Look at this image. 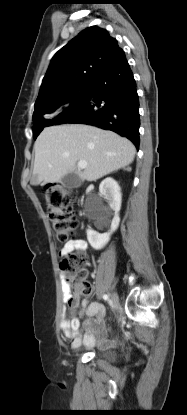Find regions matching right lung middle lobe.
Masks as SVG:
<instances>
[{
  "mask_svg": "<svg viewBox=\"0 0 187 415\" xmlns=\"http://www.w3.org/2000/svg\"><path fill=\"white\" fill-rule=\"evenodd\" d=\"M90 89L91 84L89 82L84 85L68 90L58 101L50 105L35 108L33 113L34 138H36L40 134V132L43 130L45 126L52 125L53 120L47 118L49 115H54L59 113L61 110H65L75 100L90 92Z\"/></svg>",
  "mask_w": 187,
  "mask_h": 415,
  "instance_id": "right-lung-middle-lobe-1",
  "label": "right lung middle lobe"
}]
</instances>
